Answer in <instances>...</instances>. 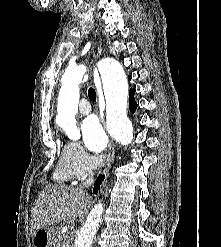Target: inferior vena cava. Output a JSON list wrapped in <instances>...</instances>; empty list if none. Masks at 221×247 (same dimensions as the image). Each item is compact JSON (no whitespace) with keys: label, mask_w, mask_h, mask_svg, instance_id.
Instances as JSON below:
<instances>
[{"label":"inferior vena cava","mask_w":221,"mask_h":247,"mask_svg":"<svg viewBox=\"0 0 221 247\" xmlns=\"http://www.w3.org/2000/svg\"><path fill=\"white\" fill-rule=\"evenodd\" d=\"M94 179L93 176H90L81 186V188H87L89 186H91V184L93 183Z\"/></svg>","instance_id":"inferior-vena-cava-1"}]
</instances>
